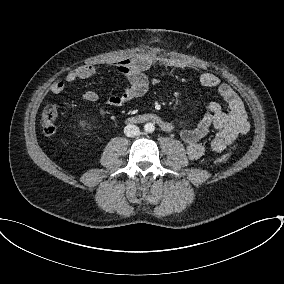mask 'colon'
I'll return each mask as SVG.
<instances>
[{"instance_id": "5ec220e1", "label": "colon", "mask_w": 284, "mask_h": 284, "mask_svg": "<svg viewBox=\"0 0 284 284\" xmlns=\"http://www.w3.org/2000/svg\"><path fill=\"white\" fill-rule=\"evenodd\" d=\"M58 118V111L55 106H46L40 116V124L45 135L52 136L55 134L57 127L56 121ZM229 154L226 153L218 158L219 163H223L228 159Z\"/></svg>"}]
</instances>
